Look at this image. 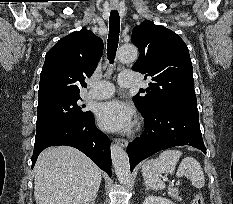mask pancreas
I'll return each instance as SVG.
<instances>
[{"label":"pancreas","mask_w":233,"mask_h":204,"mask_svg":"<svg viewBox=\"0 0 233 204\" xmlns=\"http://www.w3.org/2000/svg\"><path fill=\"white\" fill-rule=\"evenodd\" d=\"M168 195L175 200L181 201V197L179 196V191L177 188L170 187L168 189Z\"/></svg>","instance_id":"1"}]
</instances>
